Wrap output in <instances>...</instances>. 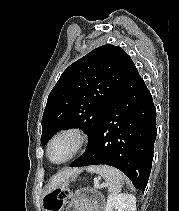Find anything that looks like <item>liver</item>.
<instances>
[{
	"mask_svg": "<svg viewBox=\"0 0 179 211\" xmlns=\"http://www.w3.org/2000/svg\"><path fill=\"white\" fill-rule=\"evenodd\" d=\"M81 171L79 168H66L60 172H58L55 176H53L50 185L48 186L47 192H51L52 190L59 187L62 183H64L70 176L74 175L75 173Z\"/></svg>",
	"mask_w": 179,
	"mask_h": 211,
	"instance_id": "obj_1",
	"label": "liver"
}]
</instances>
